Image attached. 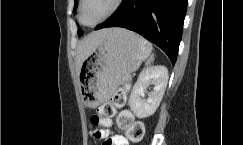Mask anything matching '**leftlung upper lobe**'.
Masks as SVG:
<instances>
[{"label":"left lung upper lobe","mask_w":243,"mask_h":145,"mask_svg":"<svg viewBox=\"0 0 243 145\" xmlns=\"http://www.w3.org/2000/svg\"><path fill=\"white\" fill-rule=\"evenodd\" d=\"M77 5H78V2H77V0H75L74 9H76V8H77ZM78 35H79V36H81V33H80V32H78Z\"/></svg>","instance_id":"1"}]
</instances>
